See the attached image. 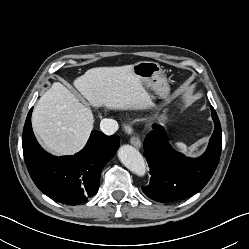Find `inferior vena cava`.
I'll use <instances>...</instances> for the list:
<instances>
[{"label": "inferior vena cava", "mask_w": 249, "mask_h": 249, "mask_svg": "<svg viewBox=\"0 0 249 249\" xmlns=\"http://www.w3.org/2000/svg\"><path fill=\"white\" fill-rule=\"evenodd\" d=\"M100 129L106 135H112L118 129V123L113 119H103L100 122Z\"/></svg>", "instance_id": "1"}]
</instances>
